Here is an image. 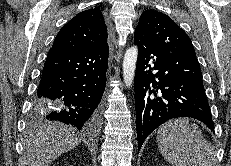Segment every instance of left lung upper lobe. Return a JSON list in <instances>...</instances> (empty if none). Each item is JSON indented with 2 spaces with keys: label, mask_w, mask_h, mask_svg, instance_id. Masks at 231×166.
Wrapping results in <instances>:
<instances>
[{
  "label": "left lung upper lobe",
  "mask_w": 231,
  "mask_h": 166,
  "mask_svg": "<svg viewBox=\"0 0 231 166\" xmlns=\"http://www.w3.org/2000/svg\"><path fill=\"white\" fill-rule=\"evenodd\" d=\"M135 34L156 47L175 54L196 57L188 35L170 17L156 10L144 11Z\"/></svg>",
  "instance_id": "1"
}]
</instances>
